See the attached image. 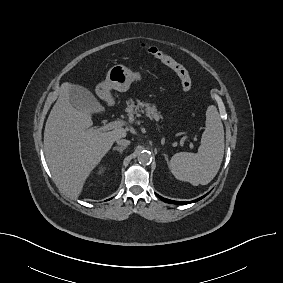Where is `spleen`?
<instances>
[{
	"mask_svg": "<svg viewBox=\"0 0 283 283\" xmlns=\"http://www.w3.org/2000/svg\"><path fill=\"white\" fill-rule=\"evenodd\" d=\"M224 155V129L214 105L206 111V128L198 153H176L169 167L176 179L194 186L207 185L218 173Z\"/></svg>",
	"mask_w": 283,
	"mask_h": 283,
	"instance_id": "spleen-1",
	"label": "spleen"
}]
</instances>
